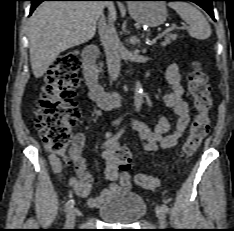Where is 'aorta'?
I'll return each mask as SVG.
<instances>
[{
	"instance_id": "762f6f07",
	"label": "aorta",
	"mask_w": 234,
	"mask_h": 231,
	"mask_svg": "<svg viewBox=\"0 0 234 231\" xmlns=\"http://www.w3.org/2000/svg\"><path fill=\"white\" fill-rule=\"evenodd\" d=\"M143 104V88L139 81L135 83L134 88V106L135 110L139 112L142 108Z\"/></svg>"
}]
</instances>
